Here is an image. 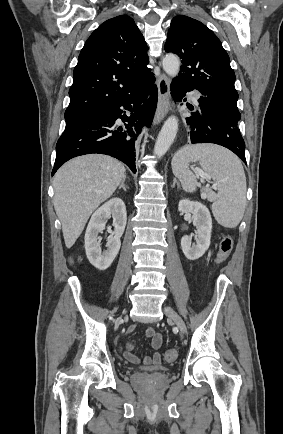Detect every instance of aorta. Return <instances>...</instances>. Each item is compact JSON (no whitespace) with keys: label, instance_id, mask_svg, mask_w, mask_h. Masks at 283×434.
Instances as JSON below:
<instances>
[{"label":"aorta","instance_id":"762f6f07","mask_svg":"<svg viewBox=\"0 0 283 434\" xmlns=\"http://www.w3.org/2000/svg\"><path fill=\"white\" fill-rule=\"evenodd\" d=\"M164 71L170 77H176L180 69V61L176 55L167 54L162 62ZM178 131V119L175 116L169 117L159 132L157 137L154 154L157 157H162L170 148Z\"/></svg>","mask_w":283,"mask_h":434}]
</instances>
